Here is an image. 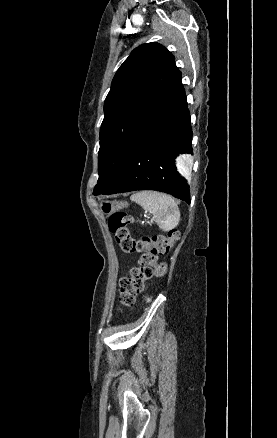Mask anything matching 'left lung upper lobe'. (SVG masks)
Masks as SVG:
<instances>
[{"label":"left lung upper lobe","instance_id":"5c2ea615","mask_svg":"<svg viewBox=\"0 0 277 438\" xmlns=\"http://www.w3.org/2000/svg\"><path fill=\"white\" fill-rule=\"evenodd\" d=\"M164 100L180 113H188L181 73L173 55L152 42L132 51L116 72L104 103L100 128L99 195L119 176L130 150L137 116L149 98Z\"/></svg>","mask_w":277,"mask_h":438}]
</instances>
